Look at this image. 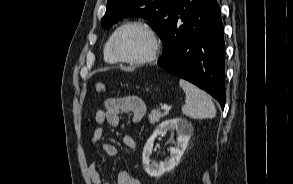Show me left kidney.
I'll list each match as a JSON object with an SVG mask.
<instances>
[{
    "instance_id": "obj_1",
    "label": "left kidney",
    "mask_w": 293,
    "mask_h": 184,
    "mask_svg": "<svg viewBox=\"0 0 293 184\" xmlns=\"http://www.w3.org/2000/svg\"><path fill=\"white\" fill-rule=\"evenodd\" d=\"M176 130L177 142L175 147L170 149V158L159 164L153 163L150 160L155 138L158 135L166 133L167 130ZM193 134V126L190 122L183 118H175L166 120L161 123L148 139L143 149V165L147 174L151 177H160L165 172L173 170L179 163L184 151L187 148L190 137Z\"/></svg>"
}]
</instances>
